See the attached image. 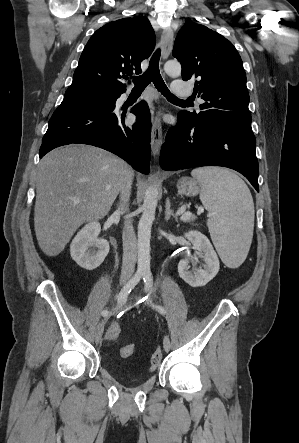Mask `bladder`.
Here are the masks:
<instances>
[{
	"instance_id": "bladder-1",
	"label": "bladder",
	"mask_w": 299,
	"mask_h": 443,
	"mask_svg": "<svg viewBox=\"0 0 299 443\" xmlns=\"http://www.w3.org/2000/svg\"><path fill=\"white\" fill-rule=\"evenodd\" d=\"M118 378L126 385H139L149 378L146 372H139L135 370H128L117 374Z\"/></svg>"
}]
</instances>
